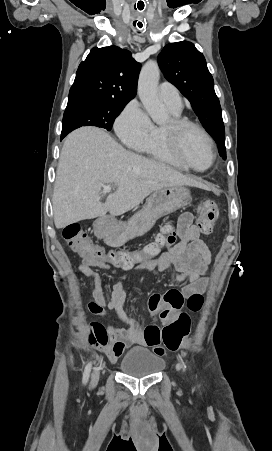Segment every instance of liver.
<instances>
[{
    "label": "liver",
    "instance_id": "obj_1",
    "mask_svg": "<svg viewBox=\"0 0 272 451\" xmlns=\"http://www.w3.org/2000/svg\"><path fill=\"white\" fill-rule=\"evenodd\" d=\"M104 184H115L118 190L102 204ZM167 186L201 188V182L127 152L102 128H79L65 138L61 150L52 198L54 224L64 227L107 212L122 216Z\"/></svg>",
    "mask_w": 272,
    "mask_h": 451
}]
</instances>
